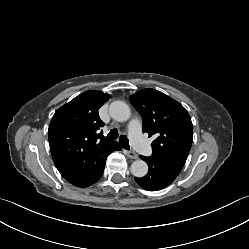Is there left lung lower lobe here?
<instances>
[{
  "mask_svg": "<svg viewBox=\"0 0 249 249\" xmlns=\"http://www.w3.org/2000/svg\"><path fill=\"white\" fill-rule=\"evenodd\" d=\"M148 166L149 171L146 176L136 178L135 181L144 189L149 191H156L165 188L171 184L179 174L176 171L166 169L159 166L152 158L140 156Z\"/></svg>",
  "mask_w": 249,
  "mask_h": 249,
  "instance_id": "left-lung-lower-lobe-1",
  "label": "left lung lower lobe"
}]
</instances>
